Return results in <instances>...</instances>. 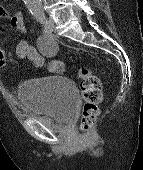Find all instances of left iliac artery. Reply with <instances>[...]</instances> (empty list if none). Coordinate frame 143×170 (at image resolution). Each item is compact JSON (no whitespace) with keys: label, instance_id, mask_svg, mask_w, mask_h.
<instances>
[{"label":"left iliac artery","instance_id":"1","mask_svg":"<svg viewBox=\"0 0 143 170\" xmlns=\"http://www.w3.org/2000/svg\"><path fill=\"white\" fill-rule=\"evenodd\" d=\"M36 19L44 25V28L47 26V19L44 14H38L36 15Z\"/></svg>","mask_w":143,"mask_h":170}]
</instances>
